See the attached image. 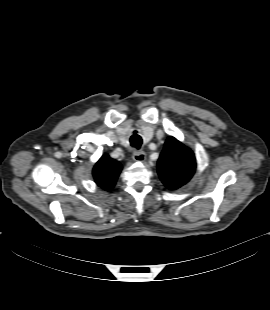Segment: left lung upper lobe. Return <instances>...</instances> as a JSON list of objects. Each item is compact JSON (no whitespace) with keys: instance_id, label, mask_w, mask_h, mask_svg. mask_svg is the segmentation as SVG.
Returning a JSON list of instances; mask_svg holds the SVG:
<instances>
[{"instance_id":"left-lung-upper-lobe-1","label":"left lung upper lobe","mask_w":270,"mask_h":310,"mask_svg":"<svg viewBox=\"0 0 270 310\" xmlns=\"http://www.w3.org/2000/svg\"><path fill=\"white\" fill-rule=\"evenodd\" d=\"M196 161L193 152L174 137H169L158 160V174L163 184L175 190L193 176Z\"/></svg>"}]
</instances>
